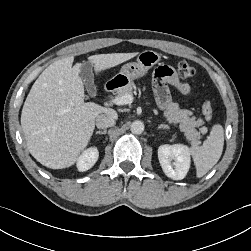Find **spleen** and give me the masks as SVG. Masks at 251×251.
I'll use <instances>...</instances> for the list:
<instances>
[{
  "label": "spleen",
  "instance_id": "3e777b00",
  "mask_svg": "<svg viewBox=\"0 0 251 251\" xmlns=\"http://www.w3.org/2000/svg\"><path fill=\"white\" fill-rule=\"evenodd\" d=\"M224 145V129L220 124L213 125L203 145L193 143L191 153L196 166V175L203 177L220 159Z\"/></svg>",
  "mask_w": 251,
  "mask_h": 251
}]
</instances>
